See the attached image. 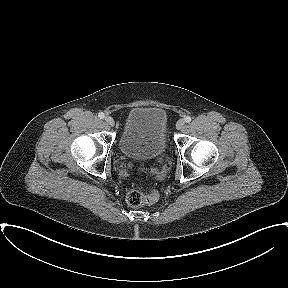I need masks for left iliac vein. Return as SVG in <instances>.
Returning <instances> with one entry per match:
<instances>
[{
    "label": "left iliac vein",
    "instance_id": "left-iliac-vein-1",
    "mask_svg": "<svg viewBox=\"0 0 288 288\" xmlns=\"http://www.w3.org/2000/svg\"><path fill=\"white\" fill-rule=\"evenodd\" d=\"M184 125H185V121L183 119H180L176 123V128L180 130L184 127Z\"/></svg>",
    "mask_w": 288,
    "mask_h": 288
}]
</instances>
